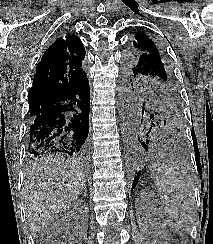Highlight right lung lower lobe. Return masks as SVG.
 I'll return each mask as SVG.
<instances>
[{
	"label": "right lung lower lobe",
	"mask_w": 213,
	"mask_h": 244,
	"mask_svg": "<svg viewBox=\"0 0 213 244\" xmlns=\"http://www.w3.org/2000/svg\"><path fill=\"white\" fill-rule=\"evenodd\" d=\"M89 109L90 89L86 74L70 90L38 98L31 112L30 155L86 153Z\"/></svg>",
	"instance_id": "1"
}]
</instances>
